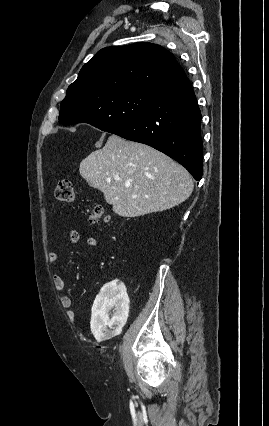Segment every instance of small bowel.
<instances>
[{
    "label": "small bowel",
    "mask_w": 269,
    "mask_h": 426,
    "mask_svg": "<svg viewBox=\"0 0 269 426\" xmlns=\"http://www.w3.org/2000/svg\"><path fill=\"white\" fill-rule=\"evenodd\" d=\"M79 239H80V235H79L78 231L72 229L68 233V238L66 240V243L68 245H74V244L78 243ZM86 243H87V245L90 249L96 250V249L99 248V241L96 238L90 237L86 240ZM48 260H49L50 264H52V265L55 264L58 260V254L56 252H50L49 255H48ZM53 283H54L56 289H58L60 291L65 290V288H66L65 281H64L63 277L61 276V274H59V273H55L53 275ZM60 302H61V305L64 308H70L72 306V298L68 295H63L60 298Z\"/></svg>",
    "instance_id": "c3829d8e"
}]
</instances>
